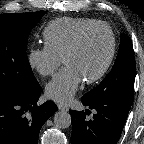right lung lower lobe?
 Wrapping results in <instances>:
<instances>
[{
	"mask_svg": "<svg viewBox=\"0 0 144 144\" xmlns=\"http://www.w3.org/2000/svg\"><path fill=\"white\" fill-rule=\"evenodd\" d=\"M41 87L0 93V144H38L42 125L56 112L54 102L38 106Z\"/></svg>",
	"mask_w": 144,
	"mask_h": 144,
	"instance_id": "98d812e1",
	"label": "right lung lower lobe"
}]
</instances>
